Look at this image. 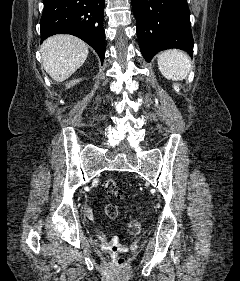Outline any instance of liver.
I'll return each mask as SVG.
<instances>
[{
  "label": "liver",
  "instance_id": "obj_1",
  "mask_svg": "<svg viewBox=\"0 0 240 281\" xmlns=\"http://www.w3.org/2000/svg\"><path fill=\"white\" fill-rule=\"evenodd\" d=\"M40 52L46 72L53 80L63 82L83 65L89 50L79 38L59 34L46 39Z\"/></svg>",
  "mask_w": 240,
  "mask_h": 281
}]
</instances>
